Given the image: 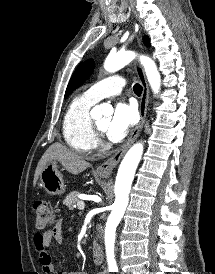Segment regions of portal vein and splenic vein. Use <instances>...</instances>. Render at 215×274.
Here are the masks:
<instances>
[{
  "mask_svg": "<svg viewBox=\"0 0 215 274\" xmlns=\"http://www.w3.org/2000/svg\"><path fill=\"white\" fill-rule=\"evenodd\" d=\"M77 207H78L79 210H84V208H85L84 202L83 201H78L77 202Z\"/></svg>",
  "mask_w": 215,
  "mask_h": 274,
  "instance_id": "18ae733b",
  "label": "portal vein and splenic vein"
}]
</instances>
